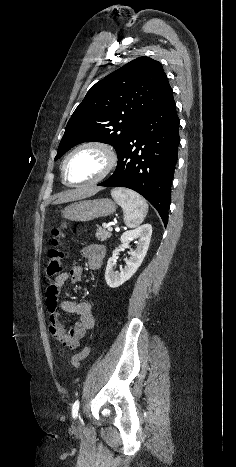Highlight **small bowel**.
Instances as JSON below:
<instances>
[{
  "label": "small bowel",
  "mask_w": 236,
  "mask_h": 467,
  "mask_svg": "<svg viewBox=\"0 0 236 467\" xmlns=\"http://www.w3.org/2000/svg\"><path fill=\"white\" fill-rule=\"evenodd\" d=\"M87 260L89 269L98 270L101 268L105 258V247L99 244L87 246L82 251ZM83 267L79 264L71 266L67 271L59 274L54 282L50 284L45 293L46 307L49 315V332L51 336L69 349H77L81 339L88 331L95 326V317L92 313L90 302H73L67 299H60L63 285L70 281L77 283L82 280ZM59 308L67 313L78 315L74 325L66 330L60 320Z\"/></svg>",
  "instance_id": "c3829d8e"
}]
</instances>
